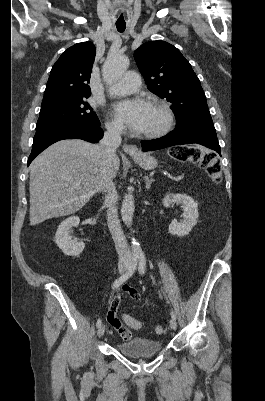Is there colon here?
Wrapping results in <instances>:
<instances>
[{"label":"colon","mask_w":265,"mask_h":401,"mask_svg":"<svg viewBox=\"0 0 265 401\" xmlns=\"http://www.w3.org/2000/svg\"><path fill=\"white\" fill-rule=\"evenodd\" d=\"M170 156L176 161L183 162L190 160L196 163L199 167L206 171L209 178L214 183H218L221 179L220 162L211 152L203 151L197 147L179 146L170 150ZM107 318L110 324H112L119 331L123 339L127 340L130 337V330L122 325L121 320L117 316H115L112 312H108ZM122 320L134 329H139L142 327V323L139 320L128 314H123ZM155 332L157 334H163L164 328L158 325L155 328Z\"/></svg>","instance_id":"obj_1"}]
</instances>
